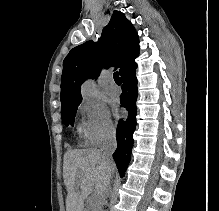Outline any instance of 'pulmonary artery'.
<instances>
[{"label": "pulmonary artery", "mask_w": 219, "mask_h": 211, "mask_svg": "<svg viewBox=\"0 0 219 211\" xmlns=\"http://www.w3.org/2000/svg\"><path fill=\"white\" fill-rule=\"evenodd\" d=\"M107 92L112 96H118L121 93V88L114 81H110Z\"/></svg>", "instance_id": "e3ab8cb5"}]
</instances>
